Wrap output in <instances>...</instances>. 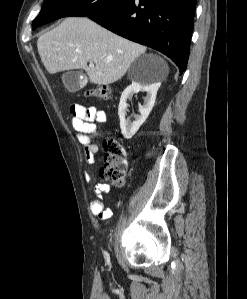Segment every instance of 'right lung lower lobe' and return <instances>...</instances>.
Masks as SVG:
<instances>
[{"label": "right lung lower lobe", "mask_w": 247, "mask_h": 299, "mask_svg": "<svg viewBox=\"0 0 247 299\" xmlns=\"http://www.w3.org/2000/svg\"><path fill=\"white\" fill-rule=\"evenodd\" d=\"M197 0H125L90 19L169 57L186 70Z\"/></svg>", "instance_id": "right-lung-lower-lobe-1"}]
</instances>
